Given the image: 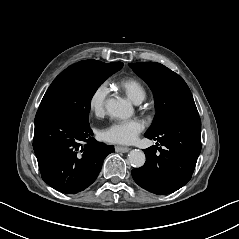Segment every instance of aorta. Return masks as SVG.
<instances>
[{
    "label": "aorta",
    "mask_w": 239,
    "mask_h": 239,
    "mask_svg": "<svg viewBox=\"0 0 239 239\" xmlns=\"http://www.w3.org/2000/svg\"><path fill=\"white\" fill-rule=\"evenodd\" d=\"M108 113L119 119H128L134 113L132 103L122 98H111L106 103ZM130 163L135 167H141L145 163V154L140 150H131L128 155Z\"/></svg>",
    "instance_id": "aorta-1"
}]
</instances>
